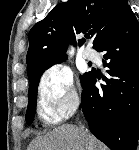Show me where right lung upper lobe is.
Instances as JSON below:
<instances>
[{"label": "right lung upper lobe", "mask_w": 139, "mask_h": 150, "mask_svg": "<svg viewBox=\"0 0 139 150\" xmlns=\"http://www.w3.org/2000/svg\"><path fill=\"white\" fill-rule=\"evenodd\" d=\"M130 9L127 0H68L58 4L29 32L28 78L66 58L69 43L77 45L75 34L93 33V48L97 49ZM82 44V39L78 40V45Z\"/></svg>", "instance_id": "cb5924a9"}]
</instances>
